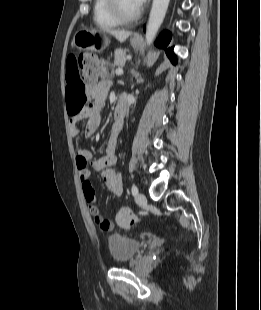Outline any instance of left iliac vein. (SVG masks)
<instances>
[{
  "mask_svg": "<svg viewBox=\"0 0 261 310\" xmlns=\"http://www.w3.org/2000/svg\"><path fill=\"white\" fill-rule=\"evenodd\" d=\"M135 200L140 206H144L147 203L146 196L143 193H138L135 197Z\"/></svg>",
  "mask_w": 261,
  "mask_h": 310,
  "instance_id": "1",
  "label": "left iliac vein"
}]
</instances>
